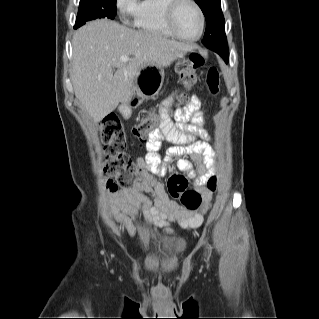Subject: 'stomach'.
I'll return each mask as SVG.
<instances>
[{
	"label": "stomach",
	"instance_id": "stomach-1",
	"mask_svg": "<svg viewBox=\"0 0 319 319\" xmlns=\"http://www.w3.org/2000/svg\"><path fill=\"white\" fill-rule=\"evenodd\" d=\"M164 72L156 64L148 63L142 66L136 77V92L140 98L156 95L163 84Z\"/></svg>",
	"mask_w": 319,
	"mask_h": 319
}]
</instances>
